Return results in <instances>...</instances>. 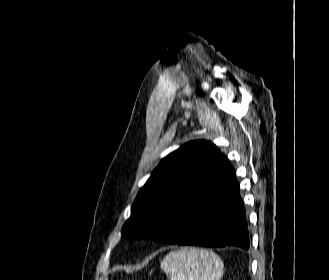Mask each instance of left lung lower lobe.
Listing matches in <instances>:
<instances>
[{"label": "left lung lower lobe", "mask_w": 329, "mask_h": 280, "mask_svg": "<svg viewBox=\"0 0 329 280\" xmlns=\"http://www.w3.org/2000/svg\"><path fill=\"white\" fill-rule=\"evenodd\" d=\"M235 172L190 204L180 219L160 231L161 241L203 247L249 248V230ZM170 243V242H169Z\"/></svg>", "instance_id": "1"}]
</instances>
